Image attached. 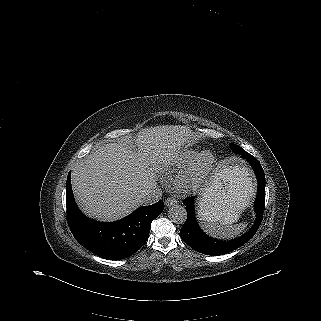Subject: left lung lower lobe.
Returning a JSON list of instances; mask_svg holds the SVG:
<instances>
[{
    "label": "left lung lower lobe",
    "mask_w": 321,
    "mask_h": 321,
    "mask_svg": "<svg viewBox=\"0 0 321 321\" xmlns=\"http://www.w3.org/2000/svg\"><path fill=\"white\" fill-rule=\"evenodd\" d=\"M238 154L250 163L257 177L258 190L255 200L256 222L246 234L239 238L230 241L212 239L201 230L196 222L194 214V197H187L184 199L183 204L186 206L188 216L180 230V234L187 245L200 253L212 256L223 255L239 248L254 236L263 219L265 205V175L263 169L259 161L245 150L239 151Z\"/></svg>",
    "instance_id": "left-lung-lower-lobe-1"
}]
</instances>
